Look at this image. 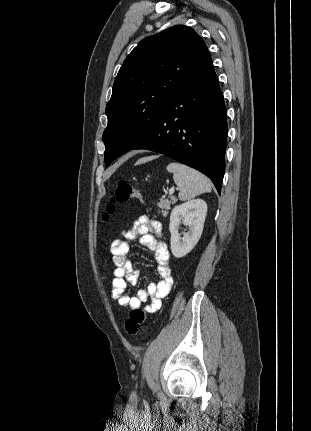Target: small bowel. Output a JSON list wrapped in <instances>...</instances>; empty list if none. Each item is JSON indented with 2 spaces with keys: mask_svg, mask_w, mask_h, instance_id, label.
<instances>
[{
  "mask_svg": "<svg viewBox=\"0 0 311 431\" xmlns=\"http://www.w3.org/2000/svg\"><path fill=\"white\" fill-rule=\"evenodd\" d=\"M162 226L157 220L143 215L133 224L132 228L123 231L122 238L115 239L110 247L115 269L112 280V298L120 306L130 309L141 308L148 299L150 304L143 310L147 313L159 311L161 300L169 293L173 278L170 268V254L162 238ZM139 239L141 244L154 253L157 263V282H151L146 288H141L136 295L131 296L127 291V284H136L139 272L134 269L128 257L130 245L133 240Z\"/></svg>",
  "mask_w": 311,
  "mask_h": 431,
  "instance_id": "c3829d8e",
  "label": "small bowel"
}]
</instances>
